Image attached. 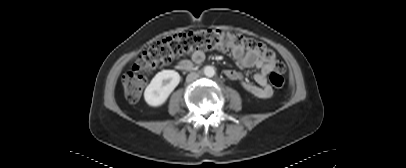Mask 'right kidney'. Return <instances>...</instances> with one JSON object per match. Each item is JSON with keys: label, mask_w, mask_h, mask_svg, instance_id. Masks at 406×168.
Instances as JSON below:
<instances>
[{"label": "right kidney", "mask_w": 406, "mask_h": 168, "mask_svg": "<svg viewBox=\"0 0 406 168\" xmlns=\"http://www.w3.org/2000/svg\"><path fill=\"white\" fill-rule=\"evenodd\" d=\"M180 82V75L174 70L158 72L146 87L144 98L148 105L161 106Z\"/></svg>", "instance_id": "ca27d5eb"}]
</instances>
